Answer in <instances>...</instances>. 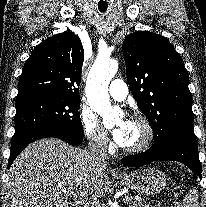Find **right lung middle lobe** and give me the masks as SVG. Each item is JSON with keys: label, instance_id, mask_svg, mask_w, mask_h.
Masks as SVG:
<instances>
[{"label": "right lung middle lobe", "instance_id": "obj_1", "mask_svg": "<svg viewBox=\"0 0 206 207\" xmlns=\"http://www.w3.org/2000/svg\"><path fill=\"white\" fill-rule=\"evenodd\" d=\"M80 99L57 95H34L16 100L12 143L41 130H60L84 137L78 112Z\"/></svg>", "mask_w": 206, "mask_h": 207}]
</instances>
